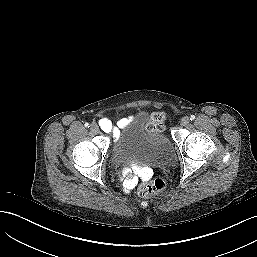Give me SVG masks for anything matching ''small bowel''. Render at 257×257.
<instances>
[{
    "label": "small bowel",
    "mask_w": 257,
    "mask_h": 257,
    "mask_svg": "<svg viewBox=\"0 0 257 257\" xmlns=\"http://www.w3.org/2000/svg\"><path fill=\"white\" fill-rule=\"evenodd\" d=\"M99 123L105 131L113 134L114 136H117L119 133V129L124 127L128 123V118L120 119L117 124H113L110 120L102 118ZM148 175L149 173L145 170L141 172V176L143 178L148 177Z\"/></svg>",
    "instance_id": "small-bowel-1"
}]
</instances>
